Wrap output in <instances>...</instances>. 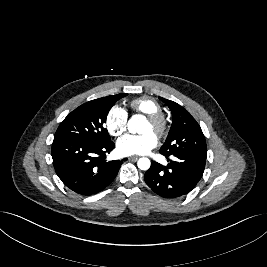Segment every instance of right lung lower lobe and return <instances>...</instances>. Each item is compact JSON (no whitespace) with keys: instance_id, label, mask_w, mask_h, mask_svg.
<instances>
[{"instance_id":"right-lung-lower-lobe-1","label":"right lung lower lobe","mask_w":267,"mask_h":267,"mask_svg":"<svg viewBox=\"0 0 267 267\" xmlns=\"http://www.w3.org/2000/svg\"><path fill=\"white\" fill-rule=\"evenodd\" d=\"M115 144L54 140L51 154L58 177L70 190L89 196L106 188L116 177L121 161H106Z\"/></svg>"}]
</instances>
